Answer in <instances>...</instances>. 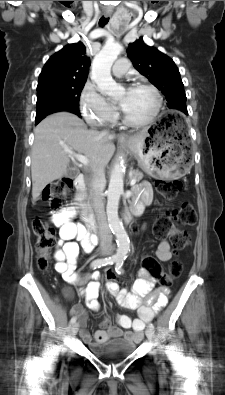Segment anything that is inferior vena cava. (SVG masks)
I'll use <instances>...</instances> for the list:
<instances>
[{
	"mask_svg": "<svg viewBox=\"0 0 225 395\" xmlns=\"http://www.w3.org/2000/svg\"><path fill=\"white\" fill-rule=\"evenodd\" d=\"M92 171L93 178L90 184V195L99 230L100 249L103 253H108L112 248V235L106 219L103 202V189L106 184L105 171L103 166L94 167Z\"/></svg>",
	"mask_w": 225,
	"mask_h": 395,
	"instance_id": "1",
	"label": "inferior vena cava"
}]
</instances>
